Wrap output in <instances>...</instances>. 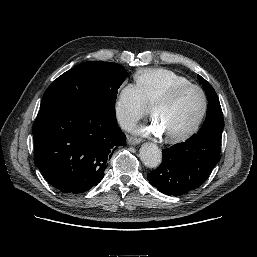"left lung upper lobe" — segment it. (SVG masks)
Listing matches in <instances>:
<instances>
[{"mask_svg":"<svg viewBox=\"0 0 257 257\" xmlns=\"http://www.w3.org/2000/svg\"><path fill=\"white\" fill-rule=\"evenodd\" d=\"M199 79L208 97L207 115L200 131L191 138L215 137L221 139L224 128V118L218 96L214 88L204 78L199 76Z\"/></svg>","mask_w":257,"mask_h":257,"instance_id":"left-lung-upper-lobe-1","label":"left lung upper lobe"}]
</instances>
